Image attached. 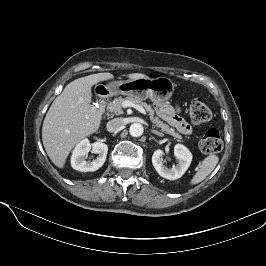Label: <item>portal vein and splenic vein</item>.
<instances>
[{
	"label": "portal vein and splenic vein",
	"instance_id": "obj_1",
	"mask_svg": "<svg viewBox=\"0 0 266 266\" xmlns=\"http://www.w3.org/2000/svg\"><path fill=\"white\" fill-rule=\"evenodd\" d=\"M122 107L123 108L133 107L139 112H141L142 114H146L145 109L141 105L134 104L133 102L128 101V100L123 101Z\"/></svg>",
	"mask_w": 266,
	"mask_h": 266
}]
</instances>
